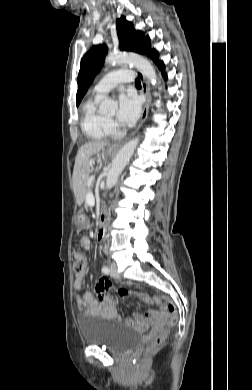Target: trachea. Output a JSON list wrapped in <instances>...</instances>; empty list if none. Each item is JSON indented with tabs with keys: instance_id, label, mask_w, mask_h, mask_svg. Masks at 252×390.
<instances>
[{
	"instance_id": "obj_1",
	"label": "trachea",
	"mask_w": 252,
	"mask_h": 390,
	"mask_svg": "<svg viewBox=\"0 0 252 390\" xmlns=\"http://www.w3.org/2000/svg\"><path fill=\"white\" fill-rule=\"evenodd\" d=\"M135 86L141 87L140 79L135 80Z\"/></svg>"
}]
</instances>
